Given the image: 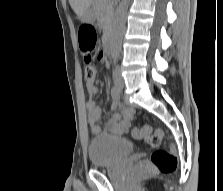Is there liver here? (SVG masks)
Returning <instances> with one entry per match:
<instances>
[{
	"instance_id": "6515ba94",
	"label": "liver",
	"mask_w": 223,
	"mask_h": 191,
	"mask_svg": "<svg viewBox=\"0 0 223 191\" xmlns=\"http://www.w3.org/2000/svg\"><path fill=\"white\" fill-rule=\"evenodd\" d=\"M70 6L78 17H81L83 12L90 7L92 0H69Z\"/></svg>"
}]
</instances>
